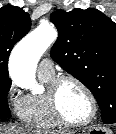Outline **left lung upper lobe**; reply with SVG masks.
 Masks as SVG:
<instances>
[{"mask_svg": "<svg viewBox=\"0 0 116 134\" xmlns=\"http://www.w3.org/2000/svg\"><path fill=\"white\" fill-rule=\"evenodd\" d=\"M52 59L94 95L105 124L116 123V24L97 9L56 10Z\"/></svg>", "mask_w": 116, "mask_h": 134, "instance_id": "5c2ea615", "label": "left lung upper lobe"}]
</instances>
